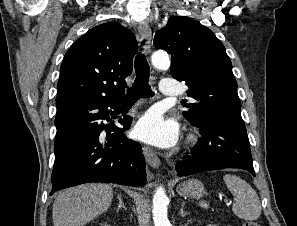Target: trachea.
Instances as JSON below:
<instances>
[{"label": "trachea", "instance_id": "3493384b", "mask_svg": "<svg viewBox=\"0 0 297 226\" xmlns=\"http://www.w3.org/2000/svg\"><path fill=\"white\" fill-rule=\"evenodd\" d=\"M134 64L136 78L132 87L127 90L126 98L123 101L125 105L133 104L141 97H151L154 94L149 85L150 67L145 56L139 53Z\"/></svg>", "mask_w": 297, "mask_h": 226}]
</instances>
